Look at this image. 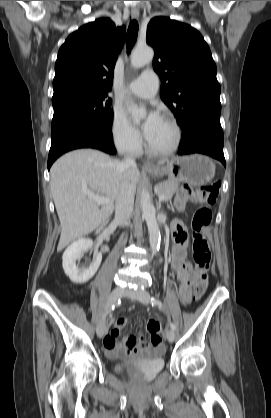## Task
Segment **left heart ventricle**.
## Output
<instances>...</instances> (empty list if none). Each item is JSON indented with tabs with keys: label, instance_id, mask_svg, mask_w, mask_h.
I'll return each mask as SVG.
<instances>
[{
	"label": "left heart ventricle",
	"instance_id": "b2bd125f",
	"mask_svg": "<svg viewBox=\"0 0 271 418\" xmlns=\"http://www.w3.org/2000/svg\"><path fill=\"white\" fill-rule=\"evenodd\" d=\"M174 138L175 133L173 127L166 119L162 118L148 141L154 148L162 150L170 147Z\"/></svg>",
	"mask_w": 271,
	"mask_h": 418
}]
</instances>
